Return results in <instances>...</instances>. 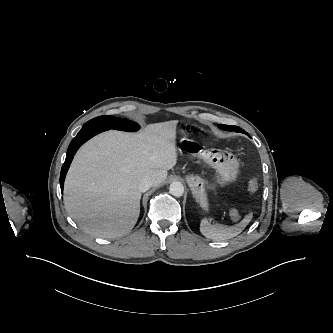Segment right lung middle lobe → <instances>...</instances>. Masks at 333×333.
Segmentation results:
<instances>
[{
  "instance_id": "1",
  "label": "right lung middle lobe",
  "mask_w": 333,
  "mask_h": 333,
  "mask_svg": "<svg viewBox=\"0 0 333 333\" xmlns=\"http://www.w3.org/2000/svg\"><path fill=\"white\" fill-rule=\"evenodd\" d=\"M89 127H107L109 129L124 130V131H137L139 125L133 121L114 117V116H100L96 117L84 124L83 128Z\"/></svg>"
}]
</instances>
